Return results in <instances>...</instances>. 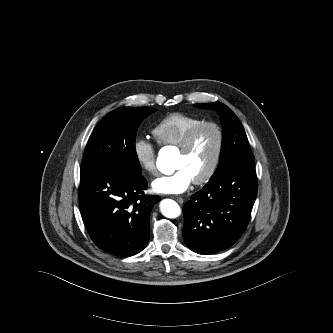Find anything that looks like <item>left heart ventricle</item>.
Masks as SVG:
<instances>
[{
  "mask_svg": "<svg viewBox=\"0 0 333 333\" xmlns=\"http://www.w3.org/2000/svg\"><path fill=\"white\" fill-rule=\"evenodd\" d=\"M217 135L213 128L203 129L189 153H178L175 168L185 169L192 179L202 176L208 169L216 149Z\"/></svg>",
  "mask_w": 333,
  "mask_h": 333,
  "instance_id": "left-heart-ventricle-1",
  "label": "left heart ventricle"
}]
</instances>
